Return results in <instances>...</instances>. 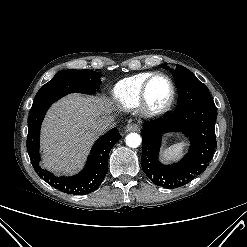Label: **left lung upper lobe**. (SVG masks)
Segmentation results:
<instances>
[{
	"label": "left lung upper lobe",
	"instance_id": "obj_1",
	"mask_svg": "<svg viewBox=\"0 0 247 247\" xmlns=\"http://www.w3.org/2000/svg\"><path fill=\"white\" fill-rule=\"evenodd\" d=\"M173 76L178 88V103L176 110L197 103L213 102L208 88L187 68L176 65Z\"/></svg>",
	"mask_w": 247,
	"mask_h": 247
}]
</instances>
